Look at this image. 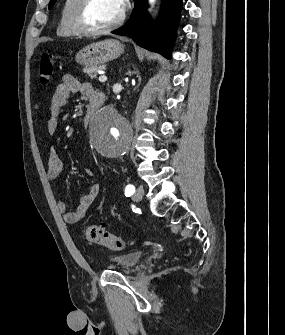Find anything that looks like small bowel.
Returning <instances> with one entry per match:
<instances>
[{
  "mask_svg": "<svg viewBox=\"0 0 285 335\" xmlns=\"http://www.w3.org/2000/svg\"><path fill=\"white\" fill-rule=\"evenodd\" d=\"M81 93L86 96L90 102L93 100L102 99V96L94 90V88L87 83H81L71 75H65L62 82L59 83L51 97L50 113L51 116L47 122V130L50 135H54L59 127V118L62 109L73 94ZM63 172V163L59 158L56 148L53 144H49L47 148V173L51 180H56ZM88 177H94L93 169L86 167L84 169ZM101 191L99 183L93 184L88 193L82 197L77 208L74 211H67L66 205L58 202L59 212L62 214L67 223L74 224L84 218L94 201L97 199Z\"/></svg>",
  "mask_w": 285,
  "mask_h": 335,
  "instance_id": "c3829d8e",
  "label": "small bowel"
}]
</instances>
